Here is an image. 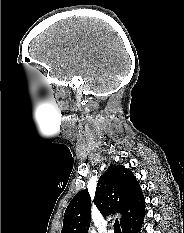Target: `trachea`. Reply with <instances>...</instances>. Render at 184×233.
<instances>
[{
  "instance_id": "trachea-1",
  "label": "trachea",
  "mask_w": 184,
  "mask_h": 233,
  "mask_svg": "<svg viewBox=\"0 0 184 233\" xmlns=\"http://www.w3.org/2000/svg\"><path fill=\"white\" fill-rule=\"evenodd\" d=\"M114 232L115 233H121V228L118 219L115 220L114 222Z\"/></svg>"
}]
</instances>
